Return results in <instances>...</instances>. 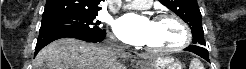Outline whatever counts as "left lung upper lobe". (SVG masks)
Here are the masks:
<instances>
[{"label": "left lung upper lobe", "instance_id": "left-lung-upper-lobe-1", "mask_svg": "<svg viewBox=\"0 0 246 69\" xmlns=\"http://www.w3.org/2000/svg\"><path fill=\"white\" fill-rule=\"evenodd\" d=\"M164 6L176 13L191 28L194 45L205 46L201 13L197 0H159Z\"/></svg>", "mask_w": 246, "mask_h": 69}]
</instances>
